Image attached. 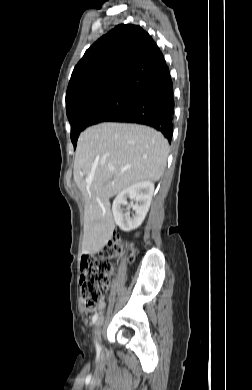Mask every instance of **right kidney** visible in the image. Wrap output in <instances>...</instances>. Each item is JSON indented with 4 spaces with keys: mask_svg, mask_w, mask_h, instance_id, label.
<instances>
[{
    "mask_svg": "<svg viewBox=\"0 0 252 390\" xmlns=\"http://www.w3.org/2000/svg\"><path fill=\"white\" fill-rule=\"evenodd\" d=\"M153 192L154 183L143 181L128 187L116 196L113 201L112 212L114 221L121 230L129 232L142 224L149 210ZM128 197L136 201L135 204H132L134 214L131 217L129 212H126L123 208V206L128 205Z\"/></svg>",
    "mask_w": 252,
    "mask_h": 390,
    "instance_id": "right-kidney-1",
    "label": "right kidney"
}]
</instances>
